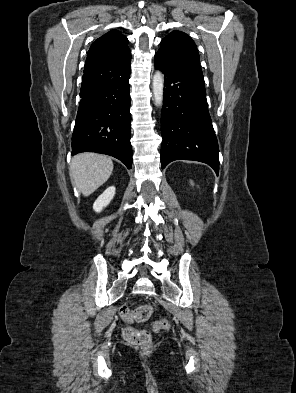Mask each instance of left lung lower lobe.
Segmentation results:
<instances>
[{
	"instance_id": "0a47b994",
	"label": "left lung lower lobe",
	"mask_w": 296,
	"mask_h": 393,
	"mask_svg": "<svg viewBox=\"0 0 296 393\" xmlns=\"http://www.w3.org/2000/svg\"><path fill=\"white\" fill-rule=\"evenodd\" d=\"M155 67L165 75L161 113V166L174 160H195L218 174L219 148L207 107L200 66L167 61L155 54Z\"/></svg>"
}]
</instances>
